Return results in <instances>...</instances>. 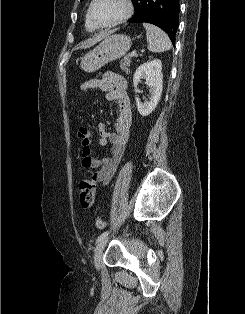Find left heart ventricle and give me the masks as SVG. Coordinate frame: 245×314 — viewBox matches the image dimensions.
Returning a JSON list of instances; mask_svg holds the SVG:
<instances>
[{
    "label": "left heart ventricle",
    "instance_id": "1",
    "mask_svg": "<svg viewBox=\"0 0 245 314\" xmlns=\"http://www.w3.org/2000/svg\"><path fill=\"white\" fill-rule=\"evenodd\" d=\"M124 11L122 0H97L93 8V16L99 23H110Z\"/></svg>",
    "mask_w": 245,
    "mask_h": 314
}]
</instances>
